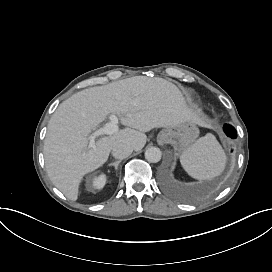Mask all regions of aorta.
I'll use <instances>...</instances> for the list:
<instances>
[{
  "label": "aorta",
  "instance_id": "aorta-1",
  "mask_svg": "<svg viewBox=\"0 0 272 272\" xmlns=\"http://www.w3.org/2000/svg\"><path fill=\"white\" fill-rule=\"evenodd\" d=\"M162 153L157 147H150L145 151V158L150 163H157L161 160Z\"/></svg>",
  "mask_w": 272,
  "mask_h": 272
}]
</instances>
